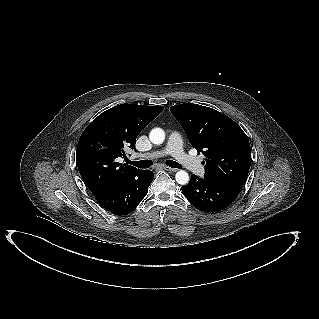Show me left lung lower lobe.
Returning a JSON list of instances; mask_svg holds the SVG:
<instances>
[{
	"label": "left lung lower lobe",
	"mask_w": 319,
	"mask_h": 319,
	"mask_svg": "<svg viewBox=\"0 0 319 319\" xmlns=\"http://www.w3.org/2000/svg\"><path fill=\"white\" fill-rule=\"evenodd\" d=\"M183 195L198 210L211 213L228 207L239 195L229 187L213 180L191 175L190 182L182 186Z\"/></svg>",
	"instance_id": "1"
}]
</instances>
